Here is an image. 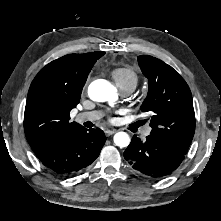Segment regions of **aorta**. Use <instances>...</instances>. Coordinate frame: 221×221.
I'll return each mask as SVG.
<instances>
[{"label":"aorta","instance_id":"1","mask_svg":"<svg viewBox=\"0 0 221 221\" xmlns=\"http://www.w3.org/2000/svg\"><path fill=\"white\" fill-rule=\"evenodd\" d=\"M88 95L93 101L105 102L116 97V90L108 81L98 79L89 85ZM114 143L119 147H127L130 143V137L126 132H118L114 135Z\"/></svg>","mask_w":221,"mask_h":221}]
</instances>
